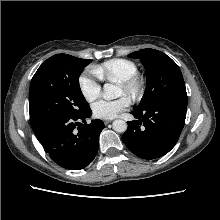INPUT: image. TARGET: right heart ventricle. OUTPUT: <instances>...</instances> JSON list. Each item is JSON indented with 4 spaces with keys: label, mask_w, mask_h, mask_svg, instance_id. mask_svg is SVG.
Segmentation results:
<instances>
[{
    "label": "right heart ventricle",
    "mask_w": 220,
    "mask_h": 220,
    "mask_svg": "<svg viewBox=\"0 0 220 220\" xmlns=\"http://www.w3.org/2000/svg\"><path fill=\"white\" fill-rule=\"evenodd\" d=\"M93 71L101 80L120 83L136 76L138 74V66L131 60L115 58L94 66Z\"/></svg>",
    "instance_id": "obj_1"
}]
</instances>
